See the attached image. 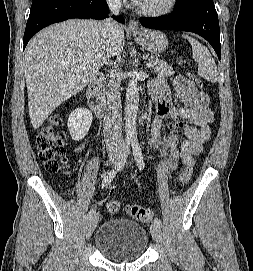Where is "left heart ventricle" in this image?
<instances>
[{"mask_svg": "<svg viewBox=\"0 0 253 271\" xmlns=\"http://www.w3.org/2000/svg\"><path fill=\"white\" fill-rule=\"evenodd\" d=\"M167 0H140L138 5L143 8H159L166 4Z\"/></svg>", "mask_w": 253, "mask_h": 271, "instance_id": "left-heart-ventricle-1", "label": "left heart ventricle"}]
</instances>
